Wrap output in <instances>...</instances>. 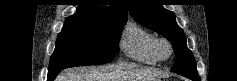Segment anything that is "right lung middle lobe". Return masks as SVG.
<instances>
[{"instance_id": "dd1d6c3e", "label": "right lung middle lobe", "mask_w": 237, "mask_h": 81, "mask_svg": "<svg viewBox=\"0 0 237 81\" xmlns=\"http://www.w3.org/2000/svg\"><path fill=\"white\" fill-rule=\"evenodd\" d=\"M125 23L65 21L50 58L48 73L111 62L119 51L117 44Z\"/></svg>"}]
</instances>
